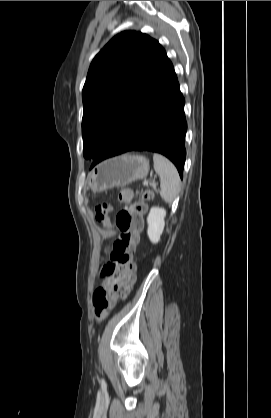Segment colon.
I'll use <instances>...</instances> for the list:
<instances>
[{
    "instance_id": "5ec220e1",
    "label": "colon",
    "mask_w": 271,
    "mask_h": 418,
    "mask_svg": "<svg viewBox=\"0 0 271 418\" xmlns=\"http://www.w3.org/2000/svg\"><path fill=\"white\" fill-rule=\"evenodd\" d=\"M150 198L149 191H145L138 201H133V192L129 188H122L118 193V199L126 203V206L116 214L115 223L120 235L113 243L110 259L101 271L102 277L112 279L111 285L99 287L93 295L94 312L98 320L104 318L115 298H125L128 295L135 282L133 253L139 243L146 201ZM110 211L111 206L107 203L96 206L97 221L109 226Z\"/></svg>"
}]
</instances>
